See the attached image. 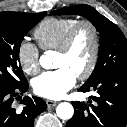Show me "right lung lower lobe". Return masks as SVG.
Returning a JSON list of instances; mask_svg holds the SVG:
<instances>
[{
    "instance_id": "98d812e1",
    "label": "right lung lower lobe",
    "mask_w": 127,
    "mask_h": 127,
    "mask_svg": "<svg viewBox=\"0 0 127 127\" xmlns=\"http://www.w3.org/2000/svg\"><path fill=\"white\" fill-rule=\"evenodd\" d=\"M28 87V82L17 88L0 87V127H33L35 117L46 109L43 99L28 96L21 100L24 105L22 111L14 108L15 96L26 92Z\"/></svg>"
}]
</instances>
